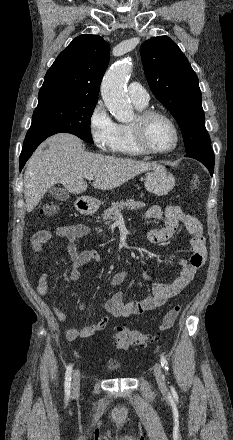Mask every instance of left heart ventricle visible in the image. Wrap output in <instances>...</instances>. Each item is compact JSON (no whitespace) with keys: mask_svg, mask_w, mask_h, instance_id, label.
Masks as SVG:
<instances>
[{"mask_svg":"<svg viewBox=\"0 0 233 440\" xmlns=\"http://www.w3.org/2000/svg\"><path fill=\"white\" fill-rule=\"evenodd\" d=\"M135 119L132 123L135 122ZM147 140L152 148L166 150L174 143V131L166 120L159 117L154 118L147 128Z\"/></svg>","mask_w":233,"mask_h":440,"instance_id":"obj_1","label":"left heart ventricle"}]
</instances>
